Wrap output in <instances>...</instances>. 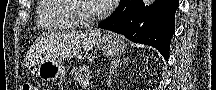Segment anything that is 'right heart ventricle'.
Returning <instances> with one entry per match:
<instances>
[{"label":"right heart ventricle","instance_id":"1","mask_svg":"<svg viewBox=\"0 0 216 90\" xmlns=\"http://www.w3.org/2000/svg\"><path fill=\"white\" fill-rule=\"evenodd\" d=\"M42 7H36L38 29H64L81 28V26L66 15L71 11H65V2L70 0H39Z\"/></svg>","mask_w":216,"mask_h":90}]
</instances>
